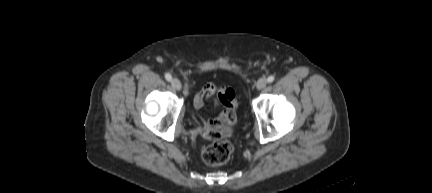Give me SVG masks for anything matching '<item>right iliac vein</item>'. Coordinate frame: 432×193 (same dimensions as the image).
<instances>
[{"instance_id": "63e3f726", "label": "right iliac vein", "mask_w": 432, "mask_h": 193, "mask_svg": "<svg viewBox=\"0 0 432 193\" xmlns=\"http://www.w3.org/2000/svg\"><path fill=\"white\" fill-rule=\"evenodd\" d=\"M171 85L174 90L180 91L182 88L181 82L177 78H173L171 81Z\"/></svg>"}]
</instances>
